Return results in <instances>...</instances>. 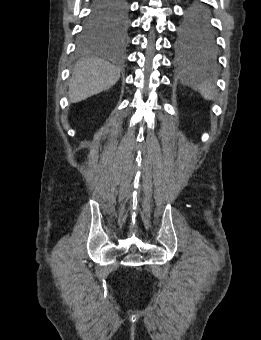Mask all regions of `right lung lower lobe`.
I'll use <instances>...</instances> for the list:
<instances>
[{
    "label": "right lung lower lobe",
    "mask_w": 261,
    "mask_h": 340,
    "mask_svg": "<svg viewBox=\"0 0 261 340\" xmlns=\"http://www.w3.org/2000/svg\"><path fill=\"white\" fill-rule=\"evenodd\" d=\"M127 9V0H94L91 13L113 16Z\"/></svg>",
    "instance_id": "98d812e1"
}]
</instances>
